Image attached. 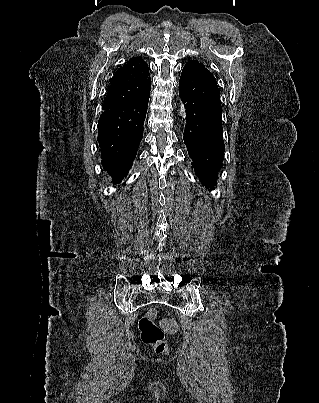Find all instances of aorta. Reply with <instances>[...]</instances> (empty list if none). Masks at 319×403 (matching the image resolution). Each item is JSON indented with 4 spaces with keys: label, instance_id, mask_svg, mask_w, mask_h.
I'll list each match as a JSON object with an SVG mask.
<instances>
[{
    "label": "aorta",
    "instance_id": "aorta-1",
    "mask_svg": "<svg viewBox=\"0 0 319 403\" xmlns=\"http://www.w3.org/2000/svg\"><path fill=\"white\" fill-rule=\"evenodd\" d=\"M180 115L184 118L185 117V109L183 105L181 104V109H180Z\"/></svg>",
    "mask_w": 319,
    "mask_h": 403
}]
</instances>
